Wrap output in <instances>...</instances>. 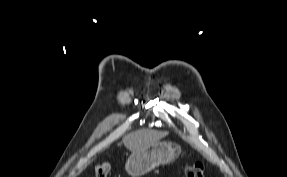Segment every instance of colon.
I'll return each mask as SVG.
<instances>
[{
  "label": "colon",
  "mask_w": 287,
  "mask_h": 177,
  "mask_svg": "<svg viewBox=\"0 0 287 177\" xmlns=\"http://www.w3.org/2000/svg\"><path fill=\"white\" fill-rule=\"evenodd\" d=\"M111 164L107 161H100L94 167L95 177H108ZM186 177H204V166L201 163H194L185 170Z\"/></svg>",
  "instance_id": "colon-1"
}]
</instances>
